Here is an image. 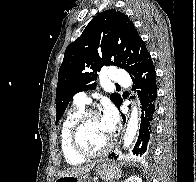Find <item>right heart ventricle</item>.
<instances>
[{"label": "right heart ventricle", "instance_id": "1", "mask_svg": "<svg viewBox=\"0 0 196 182\" xmlns=\"http://www.w3.org/2000/svg\"><path fill=\"white\" fill-rule=\"evenodd\" d=\"M83 111L84 105L75 103L74 106L67 112L60 128L61 150L66 162L70 165H80L85 161V158L79 156L71 149L69 142L70 130L75 120Z\"/></svg>", "mask_w": 196, "mask_h": 182}]
</instances>
